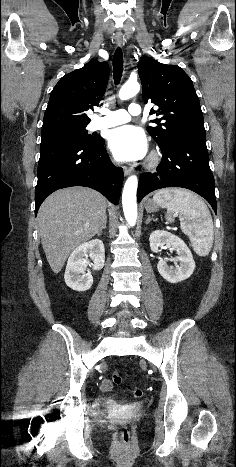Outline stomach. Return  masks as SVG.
Instances as JSON below:
<instances>
[{"mask_svg":"<svg viewBox=\"0 0 236 467\" xmlns=\"http://www.w3.org/2000/svg\"><path fill=\"white\" fill-rule=\"evenodd\" d=\"M146 211L154 213L159 210V205L154 200H148L145 204Z\"/></svg>","mask_w":236,"mask_h":467,"instance_id":"stomach-1","label":"stomach"}]
</instances>
